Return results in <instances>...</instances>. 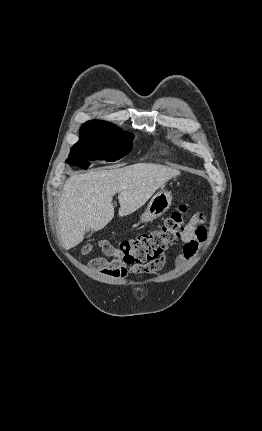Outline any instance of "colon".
<instances>
[{"mask_svg": "<svg viewBox=\"0 0 262 431\" xmlns=\"http://www.w3.org/2000/svg\"><path fill=\"white\" fill-rule=\"evenodd\" d=\"M188 207V202L183 201L157 229L141 232L134 238L119 243L101 240L98 246L105 255L114 258L120 264L133 265L155 261L165 254L168 247L173 245L184 231ZM198 216L203 222L204 216L202 214ZM90 250V246H87L83 248V253Z\"/></svg>", "mask_w": 262, "mask_h": 431, "instance_id": "obj_1", "label": "colon"}]
</instances>
